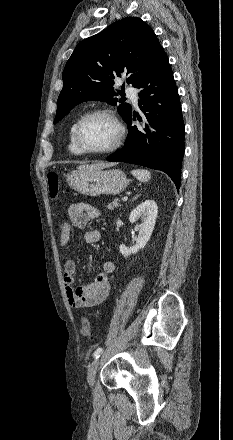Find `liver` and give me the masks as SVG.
I'll return each instance as SVG.
<instances>
[{
	"instance_id": "liver-1",
	"label": "liver",
	"mask_w": 233,
	"mask_h": 440,
	"mask_svg": "<svg viewBox=\"0 0 233 440\" xmlns=\"http://www.w3.org/2000/svg\"><path fill=\"white\" fill-rule=\"evenodd\" d=\"M113 165H114V163H96V164H92V165H81V166H79V169L86 168V167L103 169V168H106V167H111Z\"/></svg>"
}]
</instances>
